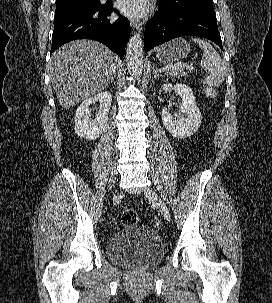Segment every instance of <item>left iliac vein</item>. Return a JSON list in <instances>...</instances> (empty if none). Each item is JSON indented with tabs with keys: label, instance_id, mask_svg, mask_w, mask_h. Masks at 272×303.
Listing matches in <instances>:
<instances>
[{
	"label": "left iliac vein",
	"instance_id": "left-iliac-vein-1",
	"mask_svg": "<svg viewBox=\"0 0 272 303\" xmlns=\"http://www.w3.org/2000/svg\"><path fill=\"white\" fill-rule=\"evenodd\" d=\"M145 195L146 197L154 204L157 206V208L159 209V211L162 213V215L164 216V218L167 221H170V213L169 210L166 206V204L164 203V201L160 198V196L153 190L151 189H146L145 190Z\"/></svg>",
	"mask_w": 272,
	"mask_h": 303
}]
</instances>
